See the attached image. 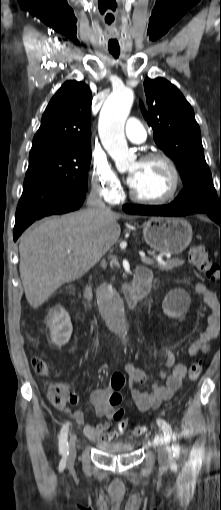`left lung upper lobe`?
I'll return each mask as SVG.
<instances>
[{"mask_svg":"<svg viewBox=\"0 0 221 510\" xmlns=\"http://www.w3.org/2000/svg\"><path fill=\"white\" fill-rule=\"evenodd\" d=\"M142 113L153 129L154 140L177 165L184 189L172 202L182 209L221 210L211 172L204 158L199 125L182 93L163 78L144 81Z\"/></svg>","mask_w":221,"mask_h":510,"instance_id":"obj_1","label":"left lung upper lobe"}]
</instances>
